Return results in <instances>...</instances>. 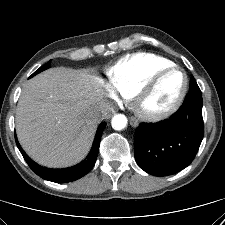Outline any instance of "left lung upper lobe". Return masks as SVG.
Here are the masks:
<instances>
[{
    "label": "left lung upper lobe",
    "mask_w": 225,
    "mask_h": 225,
    "mask_svg": "<svg viewBox=\"0 0 225 225\" xmlns=\"http://www.w3.org/2000/svg\"><path fill=\"white\" fill-rule=\"evenodd\" d=\"M189 92H201L194 78L190 81V90Z\"/></svg>",
    "instance_id": "5c2ea615"
}]
</instances>
